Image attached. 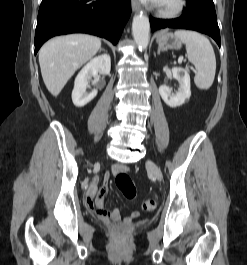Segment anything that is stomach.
Here are the masks:
<instances>
[{"label": "stomach", "instance_id": "obj_1", "mask_svg": "<svg viewBox=\"0 0 247 265\" xmlns=\"http://www.w3.org/2000/svg\"><path fill=\"white\" fill-rule=\"evenodd\" d=\"M157 43L163 50H178L182 47V41L168 31H161L158 33Z\"/></svg>", "mask_w": 247, "mask_h": 265}]
</instances>
